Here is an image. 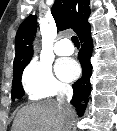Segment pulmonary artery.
<instances>
[{
    "instance_id": "1",
    "label": "pulmonary artery",
    "mask_w": 117,
    "mask_h": 131,
    "mask_svg": "<svg viewBox=\"0 0 117 131\" xmlns=\"http://www.w3.org/2000/svg\"><path fill=\"white\" fill-rule=\"evenodd\" d=\"M54 50L57 55H71L74 47L68 39L64 38L56 42Z\"/></svg>"
}]
</instances>
